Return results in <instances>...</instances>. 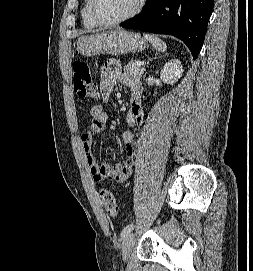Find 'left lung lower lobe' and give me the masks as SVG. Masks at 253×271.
<instances>
[{
    "instance_id": "left-lung-lower-lobe-1",
    "label": "left lung lower lobe",
    "mask_w": 253,
    "mask_h": 271,
    "mask_svg": "<svg viewBox=\"0 0 253 271\" xmlns=\"http://www.w3.org/2000/svg\"><path fill=\"white\" fill-rule=\"evenodd\" d=\"M214 0H147L143 11L122 25L181 39L196 59L202 48Z\"/></svg>"
}]
</instances>
